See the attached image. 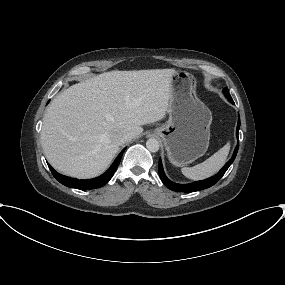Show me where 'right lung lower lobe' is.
<instances>
[{
	"label": "right lung lower lobe",
	"mask_w": 285,
	"mask_h": 285,
	"mask_svg": "<svg viewBox=\"0 0 285 285\" xmlns=\"http://www.w3.org/2000/svg\"><path fill=\"white\" fill-rule=\"evenodd\" d=\"M125 149L121 151V153L117 156L111 167L101 176L88 180H79L70 178L56 172L49 164V168L53 174V176L63 185L71 188H76L80 190H90L104 186L114 175L123 155Z\"/></svg>",
	"instance_id": "right-lung-lower-lobe-1"
}]
</instances>
